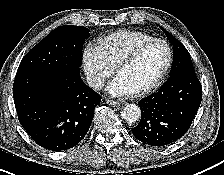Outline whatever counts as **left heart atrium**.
<instances>
[{"label":"left heart atrium","mask_w":224,"mask_h":175,"mask_svg":"<svg viewBox=\"0 0 224 175\" xmlns=\"http://www.w3.org/2000/svg\"><path fill=\"white\" fill-rule=\"evenodd\" d=\"M107 90L113 96H126L132 93V90L118 75L108 84Z\"/></svg>","instance_id":"1"}]
</instances>
